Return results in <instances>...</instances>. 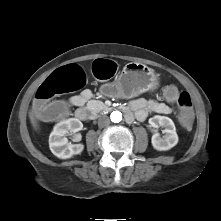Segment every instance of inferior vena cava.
Returning a JSON list of instances; mask_svg holds the SVG:
<instances>
[{"mask_svg":"<svg viewBox=\"0 0 221 221\" xmlns=\"http://www.w3.org/2000/svg\"><path fill=\"white\" fill-rule=\"evenodd\" d=\"M110 124V120L107 116H101L99 119H98V125L99 127H106V126H109Z\"/></svg>","mask_w":221,"mask_h":221,"instance_id":"602c4592","label":"inferior vena cava"}]
</instances>
